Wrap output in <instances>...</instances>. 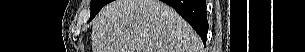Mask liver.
Here are the masks:
<instances>
[{"instance_id": "obj_1", "label": "liver", "mask_w": 305, "mask_h": 52, "mask_svg": "<svg viewBox=\"0 0 305 52\" xmlns=\"http://www.w3.org/2000/svg\"><path fill=\"white\" fill-rule=\"evenodd\" d=\"M92 52H201L195 31L159 0H115L96 16Z\"/></svg>"}]
</instances>
